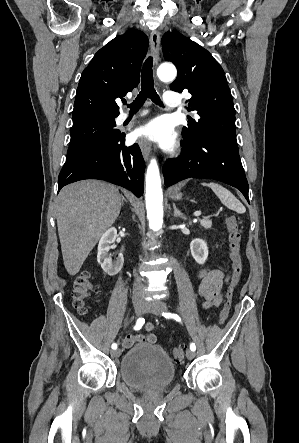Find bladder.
<instances>
[{"instance_id":"31cf9c89","label":"bladder","mask_w":299,"mask_h":443,"mask_svg":"<svg viewBox=\"0 0 299 443\" xmlns=\"http://www.w3.org/2000/svg\"><path fill=\"white\" fill-rule=\"evenodd\" d=\"M119 374L134 389L157 390L174 383L176 367L160 345L140 343L123 355Z\"/></svg>"}]
</instances>
